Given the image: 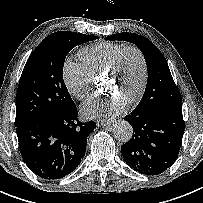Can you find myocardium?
<instances>
[{"instance_id":"myocardium-1","label":"myocardium","mask_w":203,"mask_h":203,"mask_svg":"<svg viewBox=\"0 0 203 203\" xmlns=\"http://www.w3.org/2000/svg\"><path fill=\"white\" fill-rule=\"evenodd\" d=\"M129 51H133L138 55L142 65V75L137 90L125 101L126 104H132L138 99H140L147 85L148 63L143 51L136 45H125L122 49L118 51V53L114 56L108 67L103 72L106 76L113 74L118 69L125 54Z\"/></svg>"}]
</instances>
